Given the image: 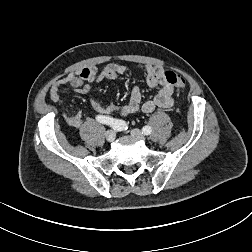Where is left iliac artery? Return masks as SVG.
<instances>
[{"mask_svg": "<svg viewBox=\"0 0 252 252\" xmlns=\"http://www.w3.org/2000/svg\"><path fill=\"white\" fill-rule=\"evenodd\" d=\"M142 131L145 135H149L152 132V128L149 125H146L143 127Z\"/></svg>", "mask_w": 252, "mask_h": 252, "instance_id": "left-iliac-artery-1", "label": "left iliac artery"}]
</instances>
